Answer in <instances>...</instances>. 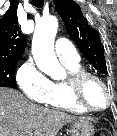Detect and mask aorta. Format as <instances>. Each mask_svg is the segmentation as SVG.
I'll return each instance as SVG.
<instances>
[{
    "label": "aorta",
    "mask_w": 117,
    "mask_h": 136,
    "mask_svg": "<svg viewBox=\"0 0 117 136\" xmlns=\"http://www.w3.org/2000/svg\"><path fill=\"white\" fill-rule=\"evenodd\" d=\"M58 29L55 16L42 17L37 23L32 40V54L41 71L54 79L65 74L54 52V39Z\"/></svg>",
    "instance_id": "762f6f07"
}]
</instances>
